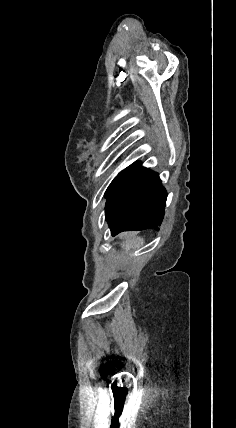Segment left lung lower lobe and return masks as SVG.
<instances>
[{"label":"left lung lower lobe","mask_w":236,"mask_h":428,"mask_svg":"<svg viewBox=\"0 0 236 428\" xmlns=\"http://www.w3.org/2000/svg\"><path fill=\"white\" fill-rule=\"evenodd\" d=\"M104 196L105 219L112 236L129 230H158L162 223L167 192L158 174L138 161Z\"/></svg>","instance_id":"left-lung-lower-lobe-1"}]
</instances>
